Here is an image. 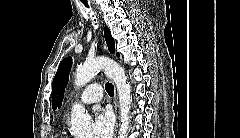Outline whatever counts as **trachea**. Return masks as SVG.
Instances as JSON below:
<instances>
[{
	"mask_svg": "<svg viewBox=\"0 0 240 138\" xmlns=\"http://www.w3.org/2000/svg\"><path fill=\"white\" fill-rule=\"evenodd\" d=\"M86 7H88V6H86ZM105 89L109 96H111V97L114 96V87L111 83H106Z\"/></svg>",
	"mask_w": 240,
	"mask_h": 138,
	"instance_id": "obj_1",
	"label": "trachea"
}]
</instances>
